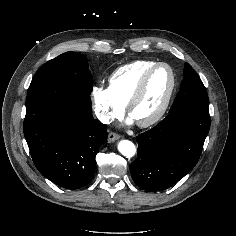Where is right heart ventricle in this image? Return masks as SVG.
<instances>
[{
    "instance_id": "e07e8e85",
    "label": "right heart ventricle",
    "mask_w": 236,
    "mask_h": 236,
    "mask_svg": "<svg viewBox=\"0 0 236 236\" xmlns=\"http://www.w3.org/2000/svg\"><path fill=\"white\" fill-rule=\"evenodd\" d=\"M156 61L138 60L118 68L109 79V90L123 106L126 105L143 74Z\"/></svg>"
}]
</instances>
